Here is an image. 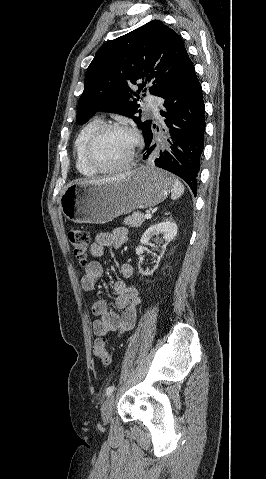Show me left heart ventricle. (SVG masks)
Returning a JSON list of instances; mask_svg holds the SVG:
<instances>
[{"instance_id": "b2bd125f", "label": "left heart ventricle", "mask_w": 266, "mask_h": 479, "mask_svg": "<svg viewBox=\"0 0 266 479\" xmlns=\"http://www.w3.org/2000/svg\"><path fill=\"white\" fill-rule=\"evenodd\" d=\"M133 145L132 136L121 130H111L97 141L93 158L101 167H113L121 164L128 157Z\"/></svg>"}]
</instances>
